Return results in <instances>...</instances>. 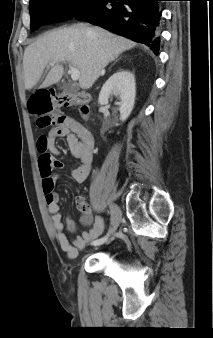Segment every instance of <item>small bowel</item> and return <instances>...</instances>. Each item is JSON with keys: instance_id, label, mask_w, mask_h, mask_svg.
Wrapping results in <instances>:
<instances>
[{"instance_id": "small-bowel-1", "label": "small bowel", "mask_w": 213, "mask_h": 338, "mask_svg": "<svg viewBox=\"0 0 213 338\" xmlns=\"http://www.w3.org/2000/svg\"><path fill=\"white\" fill-rule=\"evenodd\" d=\"M60 137L67 138L70 153L80 161V165L72 172L73 178L79 183L87 179L92 168L94 137L81 122L72 117H65L62 125L50 129L47 134L38 136L36 140L39 152L38 165L52 229L61 250L69 259H74L83 251L88 242L95 240L103 233L104 224L101 217H96L93 223L89 217H84L81 220L82 224L91 227L78 235L72 243L69 242L64 232L65 225L62 222L59 208L60 196L53 187L57 178L53 171L63 167V163L58 159L61 153L56 147V140ZM48 183L52 184L50 190L45 188ZM75 205L78 210L85 214L89 213V205L83 196L76 197ZM67 229L70 233L76 231V225L72 220L67 221Z\"/></svg>"}]
</instances>
